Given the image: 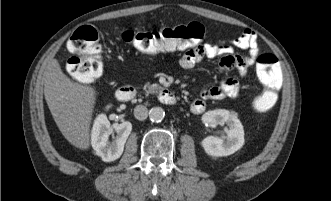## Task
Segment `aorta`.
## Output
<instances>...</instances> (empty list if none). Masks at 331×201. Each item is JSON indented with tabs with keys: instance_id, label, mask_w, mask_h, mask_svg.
I'll list each match as a JSON object with an SVG mask.
<instances>
[{
	"instance_id": "762f6f07",
	"label": "aorta",
	"mask_w": 331,
	"mask_h": 201,
	"mask_svg": "<svg viewBox=\"0 0 331 201\" xmlns=\"http://www.w3.org/2000/svg\"><path fill=\"white\" fill-rule=\"evenodd\" d=\"M165 117V111L161 107H153L149 111V118L152 122H161Z\"/></svg>"
}]
</instances>
